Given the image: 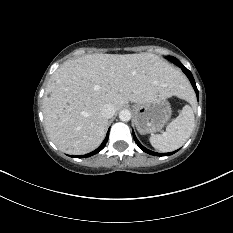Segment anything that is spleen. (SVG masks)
I'll return each mask as SVG.
<instances>
[{"instance_id":"obj_1","label":"spleen","mask_w":233,"mask_h":233,"mask_svg":"<svg viewBox=\"0 0 233 233\" xmlns=\"http://www.w3.org/2000/svg\"><path fill=\"white\" fill-rule=\"evenodd\" d=\"M185 94L190 103L194 102L192 96ZM194 112L190 105H185L179 115L171 121L162 134L151 135V145L160 152H171L180 148L190 137L194 129Z\"/></svg>"}]
</instances>
